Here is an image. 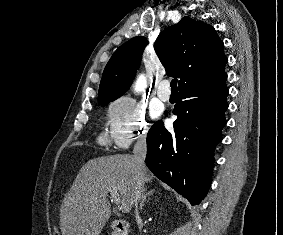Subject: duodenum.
Returning a JSON list of instances; mask_svg holds the SVG:
<instances>
[{
    "instance_id": "obj_1",
    "label": "duodenum",
    "mask_w": 283,
    "mask_h": 235,
    "mask_svg": "<svg viewBox=\"0 0 283 235\" xmlns=\"http://www.w3.org/2000/svg\"><path fill=\"white\" fill-rule=\"evenodd\" d=\"M109 226L114 235H127L128 225L122 220H113L109 223Z\"/></svg>"
}]
</instances>
